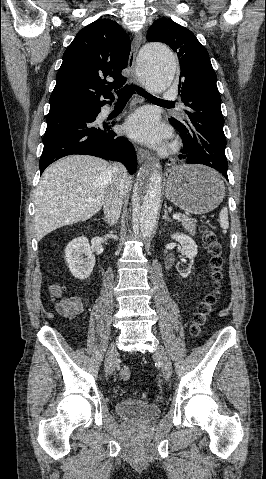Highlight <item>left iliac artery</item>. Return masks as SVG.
Segmentation results:
<instances>
[{
	"mask_svg": "<svg viewBox=\"0 0 266 479\" xmlns=\"http://www.w3.org/2000/svg\"><path fill=\"white\" fill-rule=\"evenodd\" d=\"M158 372H159V374H158V375L160 376V375H161V374H160V372H161V371L159 370ZM159 378L161 379L162 377L160 376Z\"/></svg>",
	"mask_w": 266,
	"mask_h": 479,
	"instance_id": "obj_1",
	"label": "left iliac artery"
}]
</instances>
